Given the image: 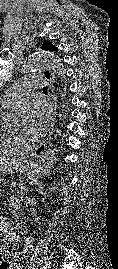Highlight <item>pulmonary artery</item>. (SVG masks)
Here are the masks:
<instances>
[{
  "instance_id": "obj_1",
  "label": "pulmonary artery",
  "mask_w": 118,
  "mask_h": 269,
  "mask_svg": "<svg viewBox=\"0 0 118 269\" xmlns=\"http://www.w3.org/2000/svg\"><path fill=\"white\" fill-rule=\"evenodd\" d=\"M45 81L42 78H23L13 84L0 99V105L4 108L16 107L22 104L29 96L31 89L37 88Z\"/></svg>"
}]
</instances>
